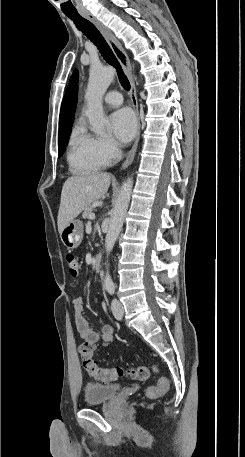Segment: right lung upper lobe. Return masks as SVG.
I'll list each match as a JSON object with an SVG mask.
<instances>
[{
	"mask_svg": "<svg viewBox=\"0 0 245 457\" xmlns=\"http://www.w3.org/2000/svg\"><path fill=\"white\" fill-rule=\"evenodd\" d=\"M78 98V71L75 70L70 78L65 96L62 101L59 128L73 123Z\"/></svg>",
	"mask_w": 245,
	"mask_h": 457,
	"instance_id": "cb5924a9",
	"label": "right lung upper lobe"
}]
</instances>
